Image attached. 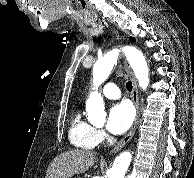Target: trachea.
Listing matches in <instances>:
<instances>
[{
    "mask_svg": "<svg viewBox=\"0 0 194 178\" xmlns=\"http://www.w3.org/2000/svg\"><path fill=\"white\" fill-rule=\"evenodd\" d=\"M126 88L128 91H132V83L130 81L126 82Z\"/></svg>",
    "mask_w": 194,
    "mask_h": 178,
    "instance_id": "3493384b",
    "label": "trachea"
}]
</instances>
